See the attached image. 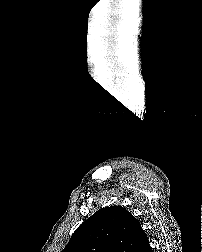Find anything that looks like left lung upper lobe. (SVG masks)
Here are the masks:
<instances>
[{"mask_svg":"<svg viewBox=\"0 0 202 252\" xmlns=\"http://www.w3.org/2000/svg\"><path fill=\"white\" fill-rule=\"evenodd\" d=\"M140 228L126 209L105 207L75 230L62 252H134Z\"/></svg>","mask_w":202,"mask_h":252,"instance_id":"1","label":"left lung upper lobe"}]
</instances>
